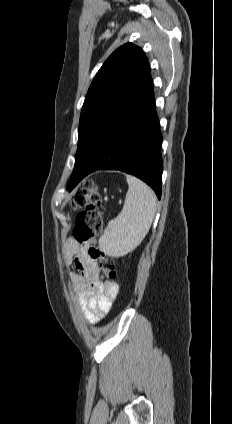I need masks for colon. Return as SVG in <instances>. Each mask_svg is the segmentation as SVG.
<instances>
[{
  "label": "colon",
  "instance_id": "colon-1",
  "mask_svg": "<svg viewBox=\"0 0 232 424\" xmlns=\"http://www.w3.org/2000/svg\"><path fill=\"white\" fill-rule=\"evenodd\" d=\"M69 204L73 209H82L73 229L74 238L78 242L89 245V255L98 260L100 269L108 278L113 279L116 274L115 262L113 258L104 253L98 244L104 208L95 180L86 179L75 191L70 193Z\"/></svg>",
  "mask_w": 232,
  "mask_h": 424
}]
</instances>
